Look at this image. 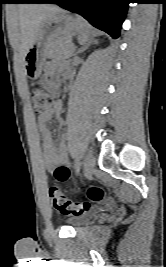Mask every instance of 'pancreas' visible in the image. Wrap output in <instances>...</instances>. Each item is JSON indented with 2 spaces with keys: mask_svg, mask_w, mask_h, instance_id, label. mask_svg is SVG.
<instances>
[{
  "mask_svg": "<svg viewBox=\"0 0 166 267\" xmlns=\"http://www.w3.org/2000/svg\"><path fill=\"white\" fill-rule=\"evenodd\" d=\"M73 55V48L70 44V37H60L54 40L48 51L49 58H69Z\"/></svg>",
  "mask_w": 166,
  "mask_h": 267,
  "instance_id": "pancreas-1",
  "label": "pancreas"
}]
</instances>
